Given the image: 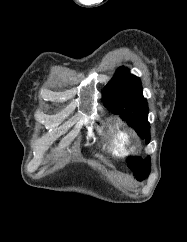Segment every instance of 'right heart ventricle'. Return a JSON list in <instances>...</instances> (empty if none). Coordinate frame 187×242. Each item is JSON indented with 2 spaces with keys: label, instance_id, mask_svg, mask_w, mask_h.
<instances>
[{
  "label": "right heart ventricle",
  "instance_id": "obj_1",
  "mask_svg": "<svg viewBox=\"0 0 187 242\" xmlns=\"http://www.w3.org/2000/svg\"><path fill=\"white\" fill-rule=\"evenodd\" d=\"M129 136L119 126H114L110 139V149L116 156H123L128 153Z\"/></svg>",
  "mask_w": 187,
  "mask_h": 242
}]
</instances>
